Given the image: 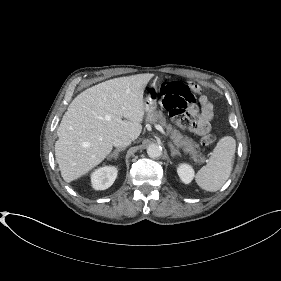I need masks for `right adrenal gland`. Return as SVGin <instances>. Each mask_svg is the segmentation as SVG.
I'll use <instances>...</instances> for the list:
<instances>
[{"instance_id": "2a0ac1e0", "label": "right adrenal gland", "mask_w": 281, "mask_h": 281, "mask_svg": "<svg viewBox=\"0 0 281 281\" xmlns=\"http://www.w3.org/2000/svg\"><path fill=\"white\" fill-rule=\"evenodd\" d=\"M124 148H117L115 149L108 157L107 160L114 158L115 160L118 158L119 152L123 151Z\"/></svg>"}]
</instances>
